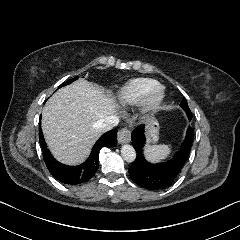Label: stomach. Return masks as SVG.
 I'll return each instance as SVG.
<instances>
[{"label": "stomach", "instance_id": "stomach-1", "mask_svg": "<svg viewBox=\"0 0 240 240\" xmlns=\"http://www.w3.org/2000/svg\"><path fill=\"white\" fill-rule=\"evenodd\" d=\"M143 135L147 145H155L160 139V124L154 115H149L143 119Z\"/></svg>", "mask_w": 240, "mask_h": 240}]
</instances>
